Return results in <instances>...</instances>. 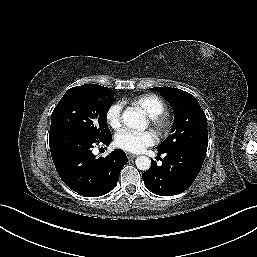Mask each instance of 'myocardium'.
Wrapping results in <instances>:
<instances>
[{"instance_id":"1","label":"myocardium","mask_w":257,"mask_h":257,"mask_svg":"<svg viewBox=\"0 0 257 257\" xmlns=\"http://www.w3.org/2000/svg\"><path fill=\"white\" fill-rule=\"evenodd\" d=\"M150 122L159 133L168 132L172 125L171 117L166 111L150 118Z\"/></svg>"}]
</instances>
